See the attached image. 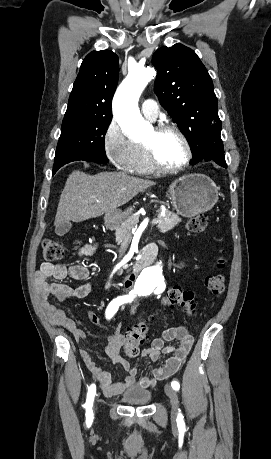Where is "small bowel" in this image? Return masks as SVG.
Here are the masks:
<instances>
[{"instance_id": "obj_1", "label": "small bowel", "mask_w": 271, "mask_h": 459, "mask_svg": "<svg viewBox=\"0 0 271 459\" xmlns=\"http://www.w3.org/2000/svg\"><path fill=\"white\" fill-rule=\"evenodd\" d=\"M100 249L98 243H86L80 246L76 254L78 256H92ZM151 262L147 258V264ZM89 277V270L83 265H71L69 267L61 264L44 263L36 272L35 286L39 302L46 318L51 324L62 327L69 331L77 342L86 339V334L77 328L75 322L68 318L65 313L49 303L50 296L55 297L58 301L76 300L85 298L93 289L92 283H85L77 287H70L61 282H49L50 279L62 281L66 278L74 280H86ZM128 283V282H127ZM136 302L133 306V313L138 308ZM92 323L99 326L104 331L109 330V326L101 322L100 318L94 313H88ZM125 342L124 335L114 332L108 338L105 351L110 360L119 364L126 371V376L122 381L113 382L111 373L103 370L93 359L86 349L80 350V355L91 374L98 380L100 386L107 397L119 395L130 388H150L159 380H163L175 374L182 363L187 358L194 338L189 331L183 326L170 327L164 330L160 337L155 338L150 347L143 350L140 361L149 359L156 362L162 354H169L164 364L153 369L150 376L138 374V363L132 365L121 355V348ZM175 342L173 344H168Z\"/></svg>"}]
</instances>
